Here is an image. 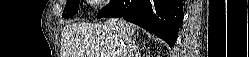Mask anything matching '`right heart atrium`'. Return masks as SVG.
I'll return each instance as SVG.
<instances>
[{"mask_svg": "<svg viewBox=\"0 0 249 57\" xmlns=\"http://www.w3.org/2000/svg\"><path fill=\"white\" fill-rule=\"evenodd\" d=\"M92 3H100V1H97V0H96V1H92Z\"/></svg>", "mask_w": 249, "mask_h": 57, "instance_id": "1", "label": "right heart atrium"}]
</instances>
